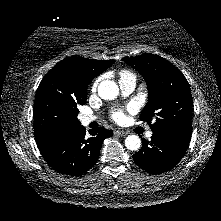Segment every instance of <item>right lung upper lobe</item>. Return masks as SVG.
I'll return each mask as SVG.
<instances>
[{"label": "right lung upper lobe", "mask_w": 221, "mask_h": 221, "mask_svg": "<svg viewBox=\"0 0 221 221\" xmlns=\"http://www.w3.org/2000/svg\"><path fill=\"white\" fill-rule=\"evenodd\" d=\"M114 62V60H93L75 56L65 58L45 75L37 89L36 96L48 91L73 98L87 96V86L90 81ZM68 131L48 138L34 132L38 149L46 147Z\"/></svg>", "instance_id": "obj_1"}]
</instances>
